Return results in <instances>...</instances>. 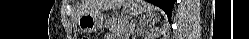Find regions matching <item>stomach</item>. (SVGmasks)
<instances>
[{
    "label": "stomach",
    "mask_w": 249,
    "mask_h": 39,
    "mask_svg": "<svg viewBox=\"0 0 249 39\" xmlns=\"http://www.w3.org/2000/svg\"><path fill=\"white\" fill-rule=\"evenodd\" d=\"M126 11L131 15H138L145 12L146 6L140 0H127ZM79 28L86 33H93L103 27V13L101 10H94L81 15L78 19Z\"/></svg>",
    "instance_id": "stomach-1"
}]
</instances>
